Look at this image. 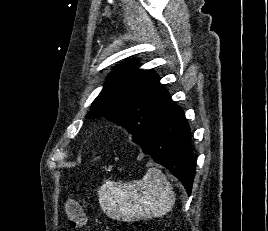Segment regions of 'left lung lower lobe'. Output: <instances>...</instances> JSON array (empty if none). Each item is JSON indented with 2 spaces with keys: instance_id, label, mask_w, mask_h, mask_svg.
Instances as JSON below:
<instances>
[{
  "instance_id": "obj_1",
  "label": "left lung lower lobe",
  "mask_w": 268,
  "mask_h": 231,
  "mask_svg": "<svg viewBox=\"0 0 268 231\" xmlns=\"http://www.w3.org/2000/svg\"><path fill=\"white\" fill-rule=\"evenodd\" d=\"M144 154L167 168L190 195L196 162L191 149V131L183 110L175 106L142 140L137 141Z\"/></svg>"
}]
</instances>
